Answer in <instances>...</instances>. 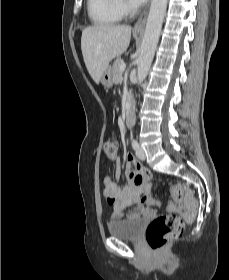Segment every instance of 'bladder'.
Masks as SVG:
<instances>
[{
	"mask_svg": "<svg viewBox=\"0 0 229 280\" xmlns=\"http://www.w3.org/2000/svg\"><path fill=\"white\" fill-rule=\"evenodd\" d=\"M144 223V218L117 220L108 224V231L112 237L135 240L141 236Z\"/></svg>",
	"mask_w": 229,
	"mask_h": 280,
	"instance_id": "obj_1",
	"label": "bladder"
}]
</instances>
